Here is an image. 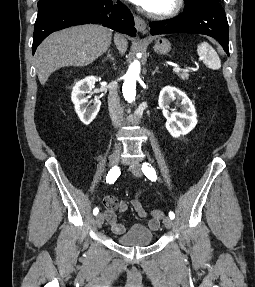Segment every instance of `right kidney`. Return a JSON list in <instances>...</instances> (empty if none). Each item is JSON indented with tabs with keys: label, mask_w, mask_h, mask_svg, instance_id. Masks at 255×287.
<instances>
[{
	"label": "right kidney",
	"mask_w": 255,
	"mask_h": 287,
	"mask_svg": "<svg viewBox=\"0 0 255 287\" xmlns=\"http://www.w3.org/2000/svg\"><path fill=\"white\" fill-rule=\"evenodd\" d=\"M95 82H97V78H95V76H88V78L80 80V82H77V84L73 86L71 94V100L75 106V112L78 114L81 122H83L85 126H89V124L93 122L101 106L100 100H91V102H88L91 96H87V94H91V90L94 88ZM89 104H93V106H90L89 108Z\"/></svg>",
	"instance_id": "right-kidney-1"
}]
</instances>
